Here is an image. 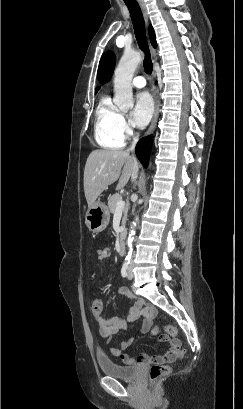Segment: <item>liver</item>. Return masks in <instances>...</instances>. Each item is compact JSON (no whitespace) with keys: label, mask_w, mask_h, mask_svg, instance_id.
Returning a JSON list of instances; mask_svg holds the SVG:
<instances>
[{"label":"liver","mask_w":243,"mask_h":409,"mask_svg":"<svg viewBox=\"0 0 243 409\" xmlns=\"http://www.w3.org/2000/svg\"><path fill=\"white\" fill-rule=\"evenodd\" d=\"M135 172H138V163L128 151L112 149L92 151L84 169V192L88 207L92 206L98 196L118 179L116 190H121Z\"/></svg>","instance_id":"1"}]
</instances>
